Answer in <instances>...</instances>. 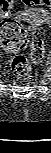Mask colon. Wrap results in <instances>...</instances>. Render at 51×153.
<instances>
[{
  "mask_svg": "<svg viewBox=\"0 0 51 153\" xmlns=\"http://www.w3.org/2000/svg\"><path fill=\"white\" fill-rule=\"evenodd\" d=\"M27 5L51 6V0H23ZM27 43V32L22 24L15 19H5L1 23V44L9 52H18ZM45 53V32L40 27H34L31 43V58L39 63L43 60ZM13 75L21 80H26L31 75L29 60L22 55H16L11 61Z\"/></svg>",
  "mask_w": 51,
  "mask_h": 153,
  "instance_id": "1",
  "label": "colon"
}]
</instances>
